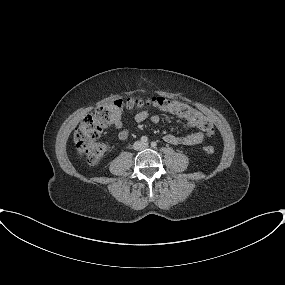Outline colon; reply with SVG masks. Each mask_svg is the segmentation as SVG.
<instances>
[{
	"label": "colon",
	"instance_id": "1",
	"mask_svg": "<svg viewBox=\"0 0 285 285\" xmlns=\"http://www.w3.org/2000/svg\"><path fill=\"white\" fill-rule=\"evenodd\" d=\"M144 106H153L163 112L184 118L191 125L199 127L208 133L213 132L212 124L207 117L201 111L187 103L165 97L142 99L130 96L98 106L92 114L85 116L76 127L74 132L76 145L85 154L89 164L96 165L100 163L107 153V145L98 142L103 129L113 125L123 111L141 109ZM214 150L212 145H206L203 148L206 154H212Z\"/></svg>",
	"mask_w": 285,
	"mask_h": 285
}]
</instances>
